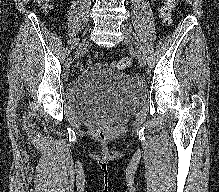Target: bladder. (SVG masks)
Returning a JSON list of instances; mask_svg holds the SVG:
<instances>
[{
	"instance_id": "1",
	"label": "bladder",
	"mask_w": 219,
	"mask_h": 192,
	"mask_svg": "<svg viewBox=\"0 0 219 192\" xmlns=\"http://www.w3.org/2000/svg\"><path fill=\"white\" fill-rule=\"evenodd\" d=\"M145 85L107 67L86 71L65 88L67 105L91 122L119 121L141 107Z\"/></svg>"
}]
</instances>
